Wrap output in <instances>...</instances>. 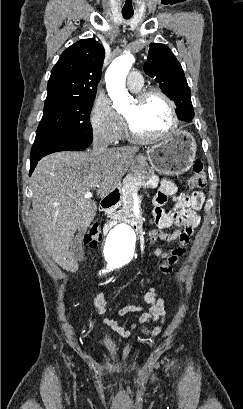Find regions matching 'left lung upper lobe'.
<instances>
[{
  "mask_svg": "<svg viewBox=\"0 0 243 409\" xmlns=\"http://www.w3.org/2000/svg\"><path fill=\"white\" fill-rule=\"evenodd\" d=\"M144 71L155 78L161 85L163 93L175 101L178 117L190 122L194 117L191 91L182 67L172 51L164 44L152 43Z\"/></svg>",
  "mask_w": 243,
  "mask_h": 409,
  "instance_id": "1",
  "label": "left lung upper lobe"
}]
</instances>
